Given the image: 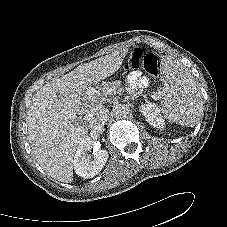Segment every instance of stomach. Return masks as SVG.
Returning <instances> with one entry per match:
<instances>
[{"instance_id":"obj_1","label":"stomach","mask_w":227,"mask_h":227,"mask_svg":"<svg viewBox=\"0 0 227 227\" xmlns=\"http://www.w3.org/2000/svg\"><path fill=\"white\" fill-rule=\"evenodd\" d=\"M112 86V81L109 78L98 80L96 82L88 84L86 91H85V97H87V93L90 95H93L99 91L102 90H108Z\"/></svg>"}]
</instances>
